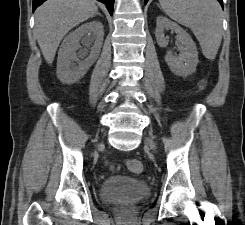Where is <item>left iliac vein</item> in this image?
Instances as JSON below:
<instances>
[{
	"label": "left iliac vein",
	"instance_id": "obj_1",
	"mask_svg": "<svg viewBox=\"0 0 245 225\" xmlns=\"http://www.w3.org/2000/svg\"><path fill=\"white\" fill-rule=\"evenodd\" d=\"M146 143L151 147V148H155L154 142L152 141V139H147Z\"/></svg>",
	"mask_w": 245,
	"mask_h": 225
}]
</instances>
